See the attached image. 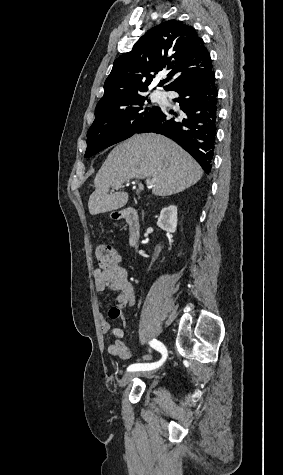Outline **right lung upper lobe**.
<instances>
[{"instance_id": "cb5924a9", "label": "right lung upper lobe", "mask_w": 283, "mask_h": 475, "mask_svg": "<svg viewBox=\"0 0 283 475\" xmlns=\"http://www.w3.org/2000/svg\"><path fill=\"white\" fill-rule=\"evenodd\" d=\"M211 70L209 52L194 28L169 20L150 29L132 51L114 61L96 108L143 95L157 74L169 72L158 84L169 82L164 86L169 91L179 82Z\"/></svg>"}]
</instances>
